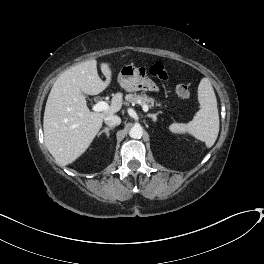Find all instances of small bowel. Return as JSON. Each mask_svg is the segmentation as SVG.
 <instances>
[{
    "mask_svg": "<svg viewBox=\"0 0 264 264\" xmlns=\"http://www.w3.org/2000/svg\"><path fill=\"white\" fill-rule=\"evenodd\" d=\"M148 88H149V90H151V91H155V90H156V87H155L153 84H150V85L148 86Z\"/></svg>",
    "mask_w": 264,
    "mask_h": 264,
    "instance_id": "obj_1",
    "label": "small bowel"
}]
</instances>
